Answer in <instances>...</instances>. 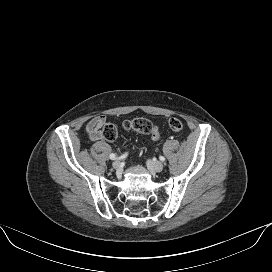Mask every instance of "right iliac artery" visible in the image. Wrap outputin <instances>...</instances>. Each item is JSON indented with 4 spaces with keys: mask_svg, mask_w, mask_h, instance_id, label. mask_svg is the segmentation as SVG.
I'll return each instance as SVG.
<instances>
[{
    "mask_svg": "<svg viewBox=\"0 0 272 272\" xmlns=\"http://www.w3.org/2000/svg\"><path fill=\"white\" fill-rule=\"evenodd\" d=\"M127 156V154H123L121 157H119V159H123V158H125ZM109 157H110V159H112V160H115L117 157H116V155L114 154V153H111L110 155H109Z\"/></svg>",
    "mask_w": 272,
    "mask_h": 272,
    "instance_id": "1",
    "label": "right iliac artery"
}]
</instances>
